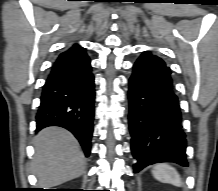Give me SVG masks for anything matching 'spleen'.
<instances>
[{
    "label": "spleen",
    "mask_w": 218,
    "mask_h": 191,
    "mask_svg": "<svg viewBox=\"0 0 218 191\" xmlns=\"http://www.w3.org/2000/svg\"><path fill=\"white\" fill-rule=\"evenodd\" d=\"M153 177L162 182L172 184L177 187L182 186V181L177 170L167 163H159L153 166L152 169Z\"/></svg>",
    "instance_id": "spleen-1"
}]
</instances>
